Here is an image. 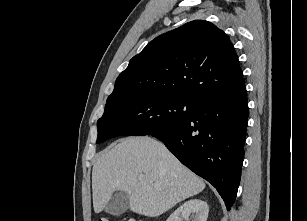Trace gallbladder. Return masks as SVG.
<instances>
[{
    "label": "gallbladder",
    "instance_id": "1",
    "mask_svg": "<svg viewBox=\"0 0 307 221\" xmlns=\"http://www.w3.org/2000/svg\"><path fill=\"white\" fill-rule=\"evenodd\" d=\"M129 207V195L125 192H115L105 206V211L114 216L126 212Z\"/></svg>",
    "mask_w": 307,
    "mask_h": 221
}]
</instances>
